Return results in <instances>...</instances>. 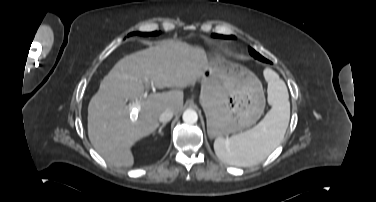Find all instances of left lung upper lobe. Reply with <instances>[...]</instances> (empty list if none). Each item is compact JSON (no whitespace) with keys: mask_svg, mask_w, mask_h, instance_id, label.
<instances>
[{"mask_svg":"<svg viewBox=\"0 0 376 202\" xmlns=\"http://www.w3.org/2000/svg\"><path fill=\"white\" fill-rule=\"evenodd\" d=\"M213 37H216V38H221V39H235V36L231 35V36H224V35H220V34H213L212 35ZM249 53L256 59L260 60V61H263V62H269L266 58H264L262 55H260L259 53H257L253 48L249 47Z\"/></svg>","mask_w":376,"mask_h":202,"instance_id":"left-lung-upper-lobe-1","label":"left lung upper lobe"}]
</instances>
